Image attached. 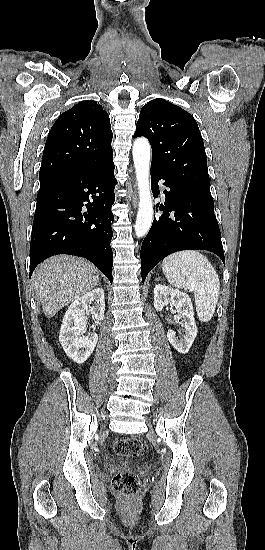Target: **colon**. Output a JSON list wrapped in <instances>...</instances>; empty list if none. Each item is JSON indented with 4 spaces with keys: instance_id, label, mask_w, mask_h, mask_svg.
Here are the masks:
<instances>
[{
    "instance_id": "5ec220e1",
    "label": "colon",
    "mask_w": 265,
    "mask_h": 550,
    "mask_svg": "<svg viewBox=\"0 0 265 550\" xmlns=\"http://www.w3.org/2000/svg\"><path fill=\"white\" fill-rule=\"evenodd\" d=\"M142 449L143 444L137 438L122 439L117 441L114 445L115 453L123 457H135L140 454ZM112 487L117 494L131 499L136 496L139 491V480L134 472L122 470L113 476Z\"/></svg>"
}]
</instances>
